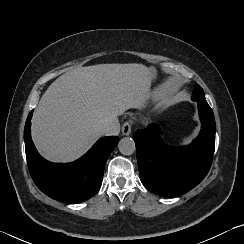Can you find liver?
I'll list each match as a JSON object with an SVG mask.
<instances>
[{"instance_id": "6515ba94", "label": "liver", "mask_w": 244, "mask_h": 244, "mask_svg": "<svg viewBox=\"0 0 244 244\" xmlns=\"http://www.w3.org/2000/svg\"><path fill=\"white\" fill-rule=\"evenodd\" d=\"M148 68L139 63L68 69L45 91L31 134L39 153L56 163L80 158L101 136L100 126L137 107L146 96Z\"/></svg>"}]
</instances>
